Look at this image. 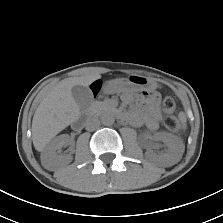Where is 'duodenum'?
<instances>
[{"instance_id":"obj_1","label":"duodenum","mask_w":223,"mask_h":223,"mask_svg":"<svg viewBox=\"0 0 223 223\" xmlns=\"http://www.w3.org/2000/svg\"><path fill=\"white\" fill-rule=\"evenodd\" d=\"M81 126H82V122H81V120L77 119V120L74 121V123H73V127H75V128H79V127H81Z\"/></svg>"}]
</instances>
